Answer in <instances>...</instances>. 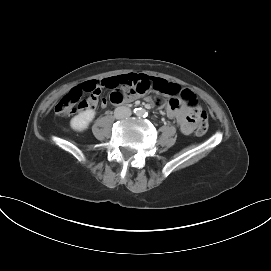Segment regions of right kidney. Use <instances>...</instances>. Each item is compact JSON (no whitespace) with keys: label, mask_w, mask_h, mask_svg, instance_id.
Listing matches in <instances>:
<instances>
[{"label":"right kidney","mask_w":271,"mask_h":271,"mask_svg":"<svg viewBox=\"0 0 271 271\" xmlns=\"http://www.w3.org/2000/svg\"><path fill=\"white\" fill-rule=\"evenodd\" d=\"M94 117L95 111L92 109H87L74 116L70 121V126L76 131L86 130Z\"/></svg>","instance_id":"1"}]
</instances>
